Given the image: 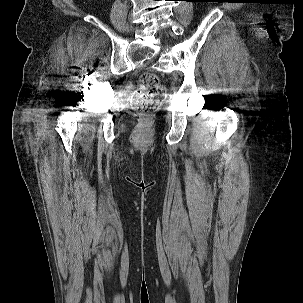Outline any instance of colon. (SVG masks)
<instances>
[{
  "mask_svg": "<svg viewBox=\"0 0 303 303\" xmlns=\"http://www.w3.org/2000/svg\"><path fill=\"white\" fill-rule=\"evenodd\" d=\"M167 95L166 87L154 73H144L137 85L135 100L138 109L149 114L158 105L162 104Z\"/></svg>",
  "mask_w": 303,
  "mask_h": 303,
  "instance_id": "1",
  "label": "colon"
}]
</instances>
